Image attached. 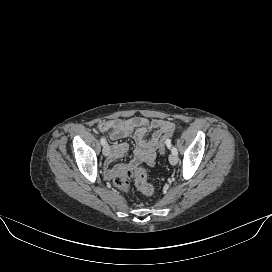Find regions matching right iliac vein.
Here are the masks:
<instances>
[{
    "mask_svg": "<svg viewBox=\"0 0 272 272\" xmlns=\"http://www.w3.org/2000/svg\"><path fill=\"white\" fill-rule=\"evenodd\" d=\"M102 152H103L104 156H108L109 155V153H110V147H109L108 144L104 145Z\"/></svg>",
    "mask_w": 272,
    "mask_h": 272,
    "instance_id": "63e3f726",
    "label": "right iliac vein"
}]
</instances>
